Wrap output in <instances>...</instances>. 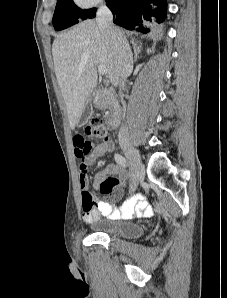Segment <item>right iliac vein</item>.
Here are the masks:
<instances>
[{
  "instance_id": "1",
  "label": "right iliac vein",
  "mask_w": 227,
  "mask_h": 298,
  "mask_svg": "<svg viewBox=\"0 0 227 298\" xmlns=\"http://www.w3.org/2000/svg\"><path fill=\"white\" fill-rule=\"evenodd\" d=\"M121 147L131 166V189L135 190L143 172V164L138 151L130 143H123Z\"/></svg>"
}]
</instances>
